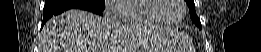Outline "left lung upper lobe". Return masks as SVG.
<instances>
[{
    "label": "left lung upper lobe",
    "instance_id": "left-lung-upper-lobe-1",
    "mask_svg": "<svg viewBox=\"0 0 261 52\" xmlns=\"http://www.w3.org/2000/svg\"><path fill=\"white\" fill-rule=\"evenodd\" d=\"M187 5L189 7V12H190V16L192 21L199 27L201 28V22L200 19L198 18V16L196 15L195 12V4L193 0H186Z\"/></svg>",
    "mask_w": 261,
    "mask_h": 52
}]
</instances>
